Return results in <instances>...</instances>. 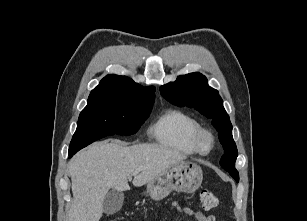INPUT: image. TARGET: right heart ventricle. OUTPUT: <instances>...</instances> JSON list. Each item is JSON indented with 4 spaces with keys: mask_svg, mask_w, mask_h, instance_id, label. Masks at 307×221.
<instances>
[{
    "mask_svg": "<svg viewBox=\"0 0 307 221\" xmlns=\"http://www.w3.org/2000/svg\"><path fill=\"white\" fill-rule=\"evenodd\" d=\"M200 123L184 111L172 109L162 114L151 126L149 133L160 145L184 154L194 155L192 144L195 131Z\"/></svg>",
    "mask_w": 307,
    "mask_h": 221,
    "instance_id": "e07e8e85",
    "label": "right heart ventricle"
}]
</instances>
